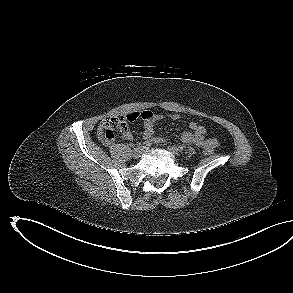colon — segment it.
I'll list each match as a JSON object with an SVG mask.
<instances>
[{
    "label": "colon",
    "mask_w": 293,
    "mask_h": 293,
    "mask_svg": "<svg viewBox=\"0 0 293 293\" xmlns=\"http://www.w3.org/2000/svg\"><path fill=\"white\" fill-rule=\"evenodd\" d=\"M127 130H129V121L125 117L107 118L101 123L97 131V136L103 143H108L114 138L117 132L124 133ZM213 150L212 147H207L205 148V153L211 154Z\"/></svg>",
    "instance_id": "colon-1"
}]
</instances>
